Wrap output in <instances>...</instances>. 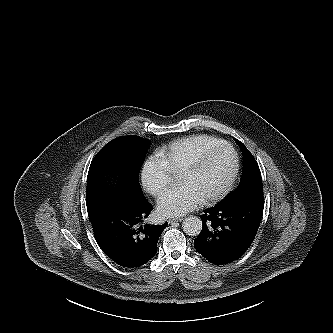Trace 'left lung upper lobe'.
Returning a JSON list of instances; mask_svg holds the SVG:
<instances>
[{"instance_id": "5c2ea615", "label": "left lung upper lobe", "mask_w": 333, "mask_h": 333, "mask_svg": "<svg viewBox=\"0 0 333 333\" xmlns=\"http://www.w3.org/2000/svg\"><path fill=\"white\" fill-rule=\"evenodd\" d=\"M239 146L242 148L244 154V164L242 177L237 188L231 192L226 198H229L242 190H247L253 187L262 188L261 172L253 155L248 151L245 145L239 140L235 139Z\"/></svg>"}]
</instances>
